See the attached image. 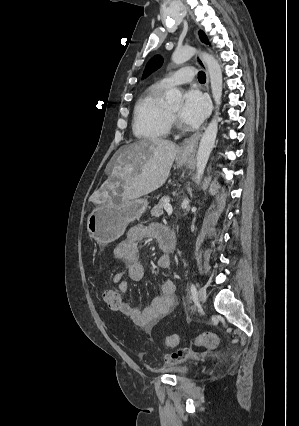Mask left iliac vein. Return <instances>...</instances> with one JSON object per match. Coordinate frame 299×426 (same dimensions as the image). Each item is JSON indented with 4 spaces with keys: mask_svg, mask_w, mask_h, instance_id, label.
Listing matches in <instances>:
<instances>
[{
    "mask_svg": "<svg viewBox=\"0 0 299 426\" xmlns=\"http://www.w3.org/2000/svg\"><path fill=\"white\" fill-rule=\"evenodd\" d=\"M198 297L201 302H204L206 299V289L204 287H200L198 289Z\"/></svg>",
    "mask_w": 299,
    "mask_h": 426,
    "instance_id": "4c4485c4",
    "label": "left iliac vein"
}]
</instances>
